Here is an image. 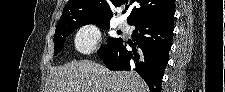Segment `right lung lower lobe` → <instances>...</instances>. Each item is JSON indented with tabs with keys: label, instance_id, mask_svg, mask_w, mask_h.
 Instances as JSON below:
<instances>
[{
	"label": "right lung lower lobe",
	"instance_id": "right-lung-lower-lobe-1",
	"mask_svg": "<svg viewBox=\"0 0 225 92\" xmlns=\"http://www.w3.org/2000/svg\"><path fill=\"white\" fill-rule=\"evenodd\" d=\"M174 14L167 18L144 19L133 25L132 38L137 48L128 51L122 39L98 51L110 70H134L147 83L151 92H161L164 70L172 45Z\"/></svg>",
	"mask_w": 225,
	"mask_h": 92
}]
</instances>
